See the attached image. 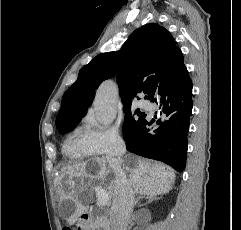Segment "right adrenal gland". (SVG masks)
Instances as JSON below:
<instances>
[{"instance_id": "right-adrenal-gland-1", "label": "right adrenal gland", "mask_w": 241, "mask_h": 230, "mask_svg": "<svg viewBox=\"0 0 241 230\" xmlns=\"http://www.w3.org/2000/svg\"><path fill=\"white\" fill-rule=\"evenodd\" d=\"M140 199H148L149 201H152L154 199V197L152 196H147V195H140L139 197H137V199L135 200L134 206H136L139 202Z\"/></svg>"}]
</instances>
